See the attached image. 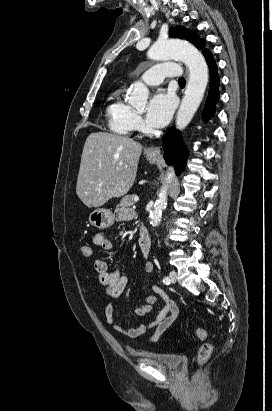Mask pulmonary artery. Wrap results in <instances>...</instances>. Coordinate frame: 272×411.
I'll list each match as a JSON object with an SVG mask.
<instances>
[{
    "label": "pulmonary artery",
    "instance_id": "e3ab8cb5",
    "mask_svg": "<svg viewBox=\"0 0 272 411\" xmlns=\"http://www.w3.org/2000/svg\"><path fill=\"white\" fill-rule=\"evenodd\" d=\"M181 72L176 63H159L146 70L141 79L149 86H158L167 77H180Z\"/></svg>",
    "mask_w": 272,
    "mask_h": 411
}]
</instances>
